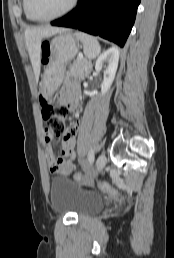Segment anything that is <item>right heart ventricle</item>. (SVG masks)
Segmentation results:
<instances>
[{
    "label": "right heart ventricle",
    "instance_id": "obj_1",
    "mask_svg": "<svg viewBox=\"0 0 174 258\" xmlns=\"http://www.w3.org/2000/svg\"><path fill=\"white\" fill-rule=\"evenodd\" d=\"M23 10H24V13H25L27 19L32 20L31 17H30V16L27 14V12H26V9H25V0H23Z\"/></svg>",
    "mask_w": 174,
    "mask_h": 258
}]
</instances>
